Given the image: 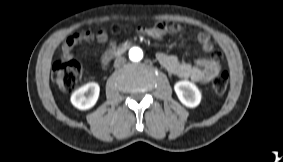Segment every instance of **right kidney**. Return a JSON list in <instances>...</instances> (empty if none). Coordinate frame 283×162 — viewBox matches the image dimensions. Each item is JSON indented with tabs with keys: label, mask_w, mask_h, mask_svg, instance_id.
Here are the masks:
<instances>
[{
	"label": "right kidney",
	"mask_w": 283,
	"mask_h": 162,
	"mask_svg": "<svg viewBox=\"0 0 283 162\" xmlns=\"http://www.w3.org/2000/svg\"><path fill=\"white\" fill-rule=\"evenodd\" d=\"M99 92L100 87L98 83H87L72 93L71 103L80 110L90 109L96 104Z\"/></svg>",
	"instance_id": "right-kidney-1"
}]
</instances>
